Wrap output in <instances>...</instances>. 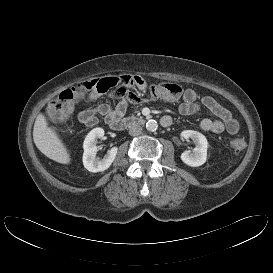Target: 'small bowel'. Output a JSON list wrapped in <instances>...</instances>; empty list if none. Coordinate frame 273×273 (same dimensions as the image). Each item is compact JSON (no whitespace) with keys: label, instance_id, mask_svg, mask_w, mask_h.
<instances>
[{"label":"small bowel","instance_id":"small-bowel-1","mask_svg":"<svg viewBox=\"0 0 273 273\" xmlns=\"http://www.w3.org/2000/svg\"><path fill=\"white\" fill-rule=\"evenodd\" d=\"M137 87L145 91L148 89V85L145 80L137 77ZM135 100L122 99L117 102L114 106L109 104H100L96 108L86 109L79 113V121L86 126H95L98 123V115H102L107 120L111 116H122L127 109L128 101L131 103H140L142 98L139 94L134 93ZM202 108L210 111L216 118L209 119L204 118L200 121V128L204 131H210L213 133H222L224 131L229 134H236L239 131V123L235 120L225 107L219 104L211 96H201L194 89L185 90L182 96V102L179 105V113L181 115H193L201 111ZM168 117L170 120L171 118Z\"/></svg>","mask_w":273,"mask_h":273}]
</instances>
